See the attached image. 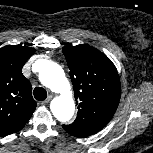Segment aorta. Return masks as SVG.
<instances>
[{"instance_id":"obj_1","label":"aorta","mask_w":153,"mask_h":153,"mask_svg":"<svg viewBox=\"0 0 153 153\" xmlns=\"http://www.w3.org/2000/svg\"><path fill=\"white\" fill-rule=\"evenodd\" d=\"M39 79L45 87L58 94L50 105L54 117L62 122L69 121L74 115L75 103L71 84L63 69L55 62L44 60Z\"/></svg>"}]
</instances>
